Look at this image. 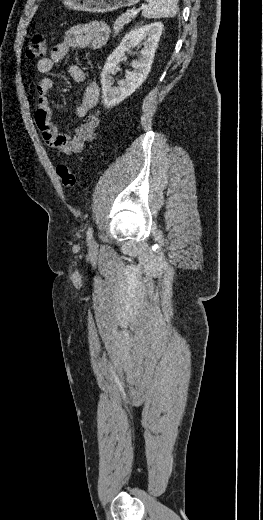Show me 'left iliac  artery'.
I'll return each instance as SVG.
<instances>
[{"instance_id":"1","label":"left iliac artery","mask_w":263,"mask_h":520,"mask_svg":"<svg viewBox=\"0 0 263 520\" xmlns=\"http://www.w3.org/2000/svg\"><path fill=\"white\" fill-rule=\"evenodd\" d=\"M92 236H93V230H92V227H89L88 230H87V241L90 243L91 240H92Z\"/></svg>"}]
</instances>
